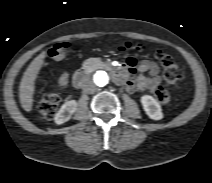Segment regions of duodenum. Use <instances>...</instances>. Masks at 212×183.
Returning a JSON list of instances; mask_svg holds the SVG:
<instances>
[{
    "label": "duodenum",
    "mask_w": 212,
    "mask_h": 183,
    "mask_svg": "<svg viewBox=\"0 0 212 183\" xmlns=\"http://www.w3.org/2000/svg\"><path fill=\"white\" fill-rule=\"evenodd\" d=\"M89 73H90V69L88 66L81 67L74 75V79H73L74 85L78 88L82 87L83 84L85 83ZM120 76H121V71H117L114 74V77L116 80L119 79Z\"/></svg>",
    "instance_id": "obj_1"
}]
</instances>
